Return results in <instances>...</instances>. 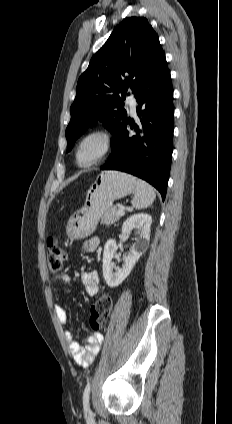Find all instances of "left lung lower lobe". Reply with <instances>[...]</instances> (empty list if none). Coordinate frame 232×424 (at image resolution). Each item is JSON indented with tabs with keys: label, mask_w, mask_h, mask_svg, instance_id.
I'll return each mask as SVG.
<instances>
[{
	"label": "left lung lower lobe",
	"mask_w": 232,
	"mask_h": 424,
	"mask_svg": "<svg viewBox=\"0 0 232 424\" xmlns=\"http://www.w3.org/2000/svg\"><path fill=\"white\" fill-rule=\"evenodd\" d=\"M139 125L127 118L111 144L112 153L102 170H119L152 184L165 199L173 149V88L166 58L134 93Z\"/></svg>",
	"instance_id": "0a47b994"
}]
</instances>
